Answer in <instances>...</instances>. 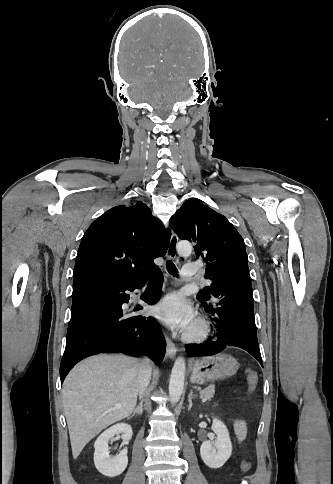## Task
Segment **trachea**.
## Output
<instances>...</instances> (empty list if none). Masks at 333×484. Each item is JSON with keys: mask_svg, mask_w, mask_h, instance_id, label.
<instances>
[{"mask_svg": "<svg viewBox=\"0 0 333 484\" xmlns=\"http://www.w3.org/2000/svg\"><path fill=\"white\" fill-rule=\"evenodd\" d=\"M166 267L168 269V271L173 275V276H178L177 273V268L176 266L174 265V263L172 261H167L166 263Z\"/></svg>", "mask_w": 333, "mask_h": 484, "instance_id": "obj_1", "label": "trachea"}]
</instances>
